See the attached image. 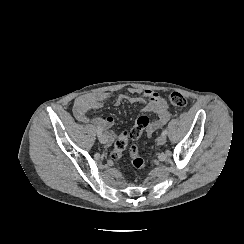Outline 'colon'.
I'll return each mask as SVG.
<instances>
[{
    "label": "colon",
    "instance_id": "5ec220e1",
    "mask_svg": "<svg viewBox=\"0 0 244 244\" xmlns=\"http://www.w3.org/2000/svg\"><path fill=\"white\" fill-rule=\"evenodd\" d=\"M167 102L175 107L183 108L188 104V99L180 92H170L165 95ZM150 122L147 115H141L132 129L129 132V136L133 140H137L142 135L143 131L146 129ZM129 148L130 164L135 169H143L146 166V161L139 153V148L137 145H128V132H123L115 141L111 152L109 153V160L111 162L119 161L125 150Z\"/></svg>",
    "mask_w": 244,
    "mask_h": 244
}]
</instances>
